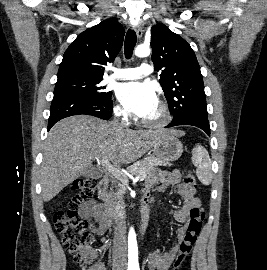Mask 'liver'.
<instances>
[{"mask_svg": "<svg viewBox=\"0 0 267 270\" xmlns=\"http://www.w3.org/2000/svg\"><path fill=\"white\" fill-rule=\"evenodd\" d=\"M177 130L135 131L99 118L75 115L57 122L45 142L40 169L42 198L48 202L91 167L94 159L130 164Z\"/></svg>", "mask_w": 267, "mask_h": 270, "instance_id": "6515ba94", "label": "liver"}]
</instances>
